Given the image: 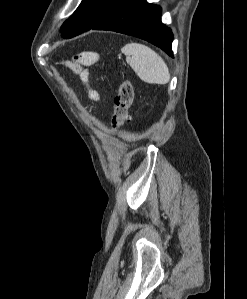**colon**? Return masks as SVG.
I'll return each mask as SVG.
<instances>
[{
    "label": "colon",
    "instance_id": "1",
    "mask_svg": "<svg viewBox=\"0 0 247 299\" xmlns=\"http://www.w3.org/2000/svg\"><path fill=\"white\" fill-rule=\"evenodd\" d=\"M134 101V88L130 81L125 80L121 83L115 97L114 111L111 118L113 130H119L126 125L130 119V109Z\"/></svg>",
    "mask_w": 247,
    "mask_h": 299
}]
</instances>
